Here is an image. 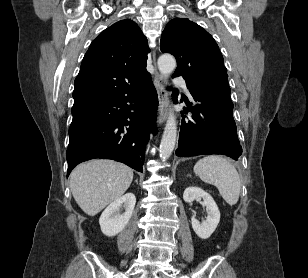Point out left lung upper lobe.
Instances as JSON below:
<instances>
[{
	"label": "left lung upper lobe",
	"mask_w": 308,
	"mask_h": 278,
	"mask_svg": "<svg viewBox=\"0 0 308 278\" xmlns=\"http://www.w3.org/2000/svg\"><path fill=\"white\" fill-rule=\"evenodd\" d=\"M160 49L175 56L178 66L173 77L182 76L189 90L228 77L213 37L189 19L175 18L166 25Z\"/></svg>",
	"instance_id": "1"
}]
</instances>
